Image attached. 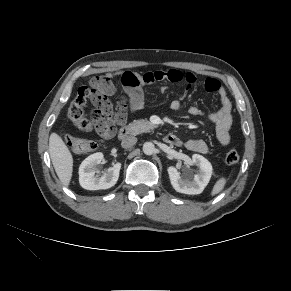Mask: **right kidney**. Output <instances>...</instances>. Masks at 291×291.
<instances>
[{"label": "right kidney", "instance_id": "obj_1", "mask_svg": "<svg viewBox=\"0 0 291 291\" xmlns=\"http://www.w3.org/2000/svg\"><path fill=\"white\" fill-rule=\"evenodd\" d=\"M103 160L100 152L88 156L79 167V183L87 190L108 189L114 186L119 178L121 163L117 162L103 175H97V165Z\"/></svg>", "mask_w": 291, "mask_h": 291}]
</instances>
